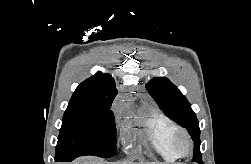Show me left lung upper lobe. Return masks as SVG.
Segmentation results:
<instances>
[{
	"instance_id": "left-lung-upper-lobe-1",
	"label": "left lung upper lobe",
	"mask_w": 251,
	"mask_h": 164,
	"mask_svg": "<svg viewBox=\"0 0 251 164\" xmlns=\"http://www.w3.org/2000/svg\"><path fill=\"white\" fill-rule=\"evenodd\" d=\"M146 88L165 115L177 119L188 130L195 143L192 161L204 164L200 153L199 123L187 99L165 77L152 79Z\"/></svg>"
}]
</instances>
